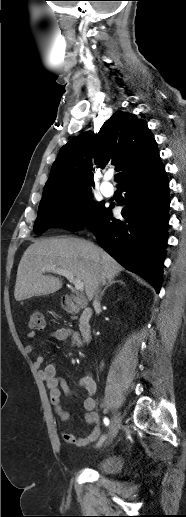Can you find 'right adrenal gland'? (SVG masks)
<instances>
[{
  "instance_id": "right-adrenal-gland-1",
  "label": "right adrenal gland",
  "mask_w": 186,
  "mask_h": 517,
  "mask_svg": "<svg viewBox=\"0 0 186 517\" xmlns=\"http://www.w3.org/2000/svg\"><path fill=\"white\" fill-rule=\"evenodd\" d=\"M114 283L124 284V282H123L122 280H114V279L109 280V281H108V283L106 284V286L104 287V289L102 290V292H101V294H100V297H102V296L104 295V293H105L106 289H107L110 285H112V284H114Z\"/></svg>"
}]
</instances>
